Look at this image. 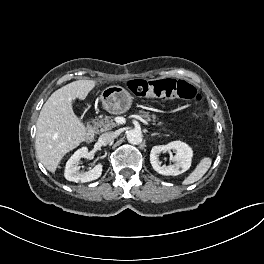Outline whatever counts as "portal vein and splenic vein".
Instances as JSON below:
<instances>
[{
	"label": "portal vein and splenic vein",
	"instance_id": "1",
	"mask_svg": "<svg viewBox=\"0 0 264 264\" xmlns=\"http://www.w3.org/2000/svg\"><path fill=\"white\" fill-rule=\"evenodd\" d=\"M129 118H135V119H137V120H140L141 122H143L144 124H146V125H148L149 123L145 120V119H143L140 115H131V116H129ZM125 122V119H122V123H124Z\"/></svg>",
	"mask_w": 264,
	"mask_h": 264
}]
</instances>
